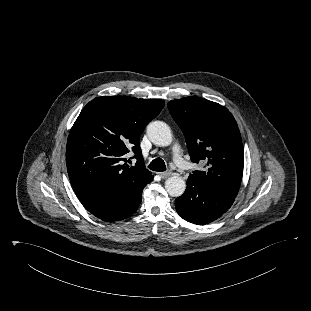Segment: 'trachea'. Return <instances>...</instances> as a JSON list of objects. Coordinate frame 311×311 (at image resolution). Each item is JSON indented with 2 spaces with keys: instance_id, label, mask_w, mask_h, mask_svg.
Masks as SVG:
<instances>
[{
  "instance_id": "1",
  "label": "trachea",
  "mask_w": 311,
  "mask_h": 311,
  "mask_svg": "<svg viewBox=\"0 0 311 311\" xmlns=\"http://www.w3.org/2000/svg\"><path fill=\"white\" fill-rule=\"evenodd\" d=\"M148 168H150L153 171L157 172H163L166 171V165L163 159L156 158L154 159L149 165Z\"/></svg>"
}]
</instances>
